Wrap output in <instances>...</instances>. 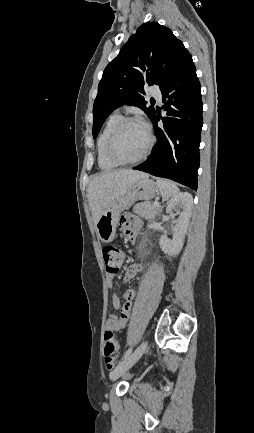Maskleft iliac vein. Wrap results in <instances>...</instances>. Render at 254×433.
Here are the masks:
<instances>
[{
    "mask_svg": "<svg viewBox=\"0 0 254 433\" xmlns=\"http://www.w3.org/2000/svg\"><path fill=\"white\" fill-rule=\"evenodd\" d=\"M147 349V341L142 342L127 358H125L111 373L112 381L126 373L144 354Z\"/></svg>",
    "mask_w": 254,
    "mask_h": 433,
    "instance_id": "1",
    "label": "left iliac vein"
}]
</instances>
